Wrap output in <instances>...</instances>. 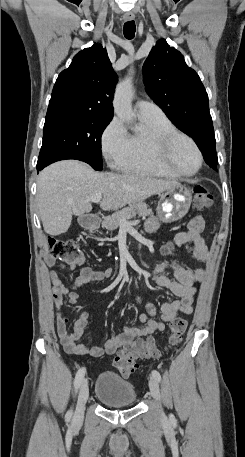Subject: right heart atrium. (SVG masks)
<instances>
[{
  "label": "right heart atrium",
  "mask_w": 245,
  "mask_h": 457,
  "mask_svg": "<svg viewBox=\"0 0 245 457\" xmlns=\"http://www.w3.org/2000/svg\"><path fill=\"white\" fill-rule=\"evenodd\" d=\"M129 139L130 135L123 122L117 116L112 117L101 136L105 156L109 159L119 157L126 150Z\"/></svg>",
  "instance_id": "right-heart-atrium-1"
}]
</instances>
